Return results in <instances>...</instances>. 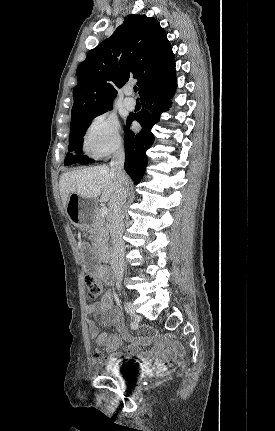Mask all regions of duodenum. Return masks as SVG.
Wrapping results in <instances>:
<instances>
[{"label": "duodenum", "instance_id": "obj_1", "mask_svg": "<svg viewBox=\"0 0 275 431\" xmlns=\"http://www.w3.org/2000/svg\"><path fill=\"white\" fill-rule=\"evenodd\" d=\"M97 256L99 261L101 262H108L110 261V253L108 249L106 248H100L97 252Z\"/></svg>", "mask_w": 275, "mask_h": 431}]
</instances>
